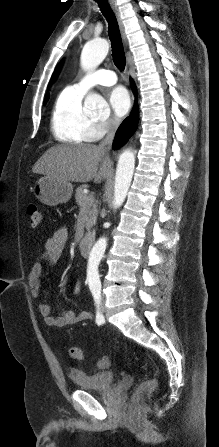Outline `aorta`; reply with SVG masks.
I'll return each instance as SVG.
<instances>
[{
    "label": "aorta",
    "mask_w": 219,
    "mask_h": 447,
    "mask_svg": "<svg viewBox=\"0 0 219 447\" xmlns=\"http://www.w3.org/2000/svg\"><path fill=\"white\" fill-rule=\"evenodd\" d=\"M109 51V43L106 39H94L88 41L81 52V66L85 70H91L97 67L107 56ZM85 108L90 112H101L108 108L106 101L97 94H90L85 100ZM135 168V154L132 149L124 150L119 156L115 185H114V209L119 208L125 201L127 192L131 185L133 173ZM107 246V239L105 237L100 238L93 246L90 257L89 265L98 263ZM88 279L93 283L98 279V273L95 269L88 273Z\"/></svg>",
    "instance_id": "aorta-1"
}]
</instances>
